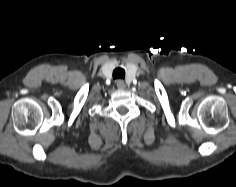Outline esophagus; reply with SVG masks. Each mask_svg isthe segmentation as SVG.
Here are the masks:
<instances>
[{
  "label": "esophagus",
  "instance_id": "obj_1",
  "mask_svg": "<svg viewBox=\"0 0 236 187\" xmlns=\"http://www.w3.org/2000/svg\"><path fill=\"white\" fill-rule=\"evenodd\" d=\"M116 85H117V87H118L119 89H124V88H125V83H124V81L121 80V79H118V80L116 81Z\"/></svg>",
  "mask_w": 236,
  "mask_h": 187
}]
</instances>
